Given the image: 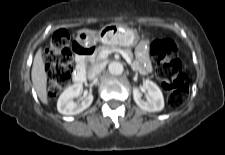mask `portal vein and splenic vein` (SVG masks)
<instances>
[{"instance_id": "1", "label": "portal vein and splenic vein", "mask_w": 225, "mask_h": 155, "mask_svg": "<svg viewBox=\"0 0 225 155\" xmlns=\"http://www.w3.org/2000/svg\"><path fill=\"white\" fill-rule=\"evenodd\" d=\"M112 52H118L122 55V57L127 61L128 64H131V58L128 56V54L120 49H113V50H104L100 53V57L102 59L107 58L108 54L112 53Z\"/></svg>"}]
</instances>
